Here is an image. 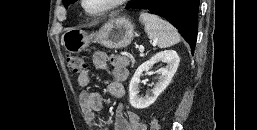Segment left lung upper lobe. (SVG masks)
<instances>
[{
	"label": "left lung upper lobe",
	"instance_id": "obj_1",
	"mask_svg": "<svg viewBox=\"0 0 257 130\" xmlns=\"http://www.w3.org/2000/svg\"><path fill=\"white\" fill-rule=\"evenodd\" d=\"M74 0H63L64 6L67 8L70 3H72ZM140 0H132L130 1L127 5L130 7L132 5H135L139 2Z\"/></svg>",
	"mask_w": 257,
	"mask_h": 130
}]
</instances>
